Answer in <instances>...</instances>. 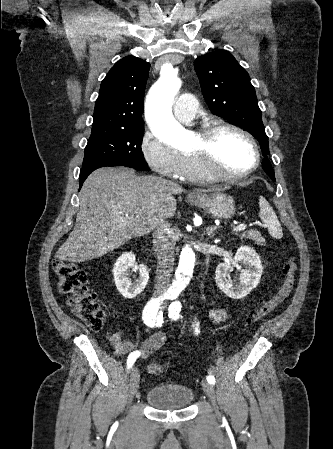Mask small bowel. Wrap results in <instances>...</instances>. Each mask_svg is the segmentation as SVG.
Wrapping results in <instances>:
<instances>
[{
    "label": "small bowel",
    "instance_id": "1",
    "mask_svg": "<svg viewBox=\"0 0 333 449\" xmlns=\"http://www.w3.org/2000/svg\"><path fill=\"white\" fill-rule=\"evenodd\" d=\"M210 316L215 321H221L226 318V310L214 308L210 311ZM110 341L115 354L118 356L131 354L134 351H139L142 353V356H146L161 349L166 342V337L163 333H155L147 338L140 347H137L135 343L125 336L123 331H117L111 336Z\"/></svg>",
    "mask_w": 333,
    "mask_h": 449
}]
</instances>
